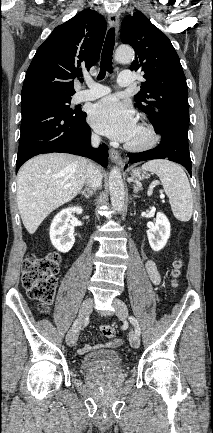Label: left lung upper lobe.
I'll use <instances>...</instances> for the list:
<instances>
[{"label": "left lung upper lobe", "mask_w": 213, "mask_h": 433, "mask_svg": "<svg viewBox=\"0 0 213 433\" xmlns=\"http://www.w3.org/2000/svg\"><path fill=\"white\" fill-rule=\"evenodd\" d=\"M121 40L136 53L131 70L143 71L145 82L134 96L156 131L166 125L189 127L188 90L179 57L168 37L141 12L127 16Z\"/></svg>", "instance_id": "obj_1"}]
</instances>
